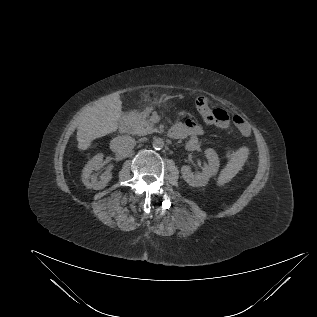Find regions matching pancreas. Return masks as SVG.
Masks as SVG:
<instances>
[{"instance_id": "cf45deb5", "label": "pancreas", "mask_w": 317, "mask_h": 317, "mask_svg": "<svg viewBox=\"0 0 317 317\" xmlns=\"http://www.w3.org/2000/svg\"><path fill=\"white\" fill-rule=\"evenodd\" d=\"M149 111L132 113L129 115V133L132 135H146L157 131L154 124L150 122Z\"/></svg>"}]
</instances>
